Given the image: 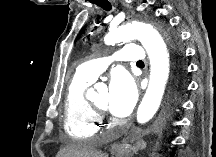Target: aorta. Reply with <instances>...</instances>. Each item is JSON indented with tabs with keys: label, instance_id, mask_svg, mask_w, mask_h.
Here are the masks:
<instances>
[{
	"label": "aorta",
	"instance_id": "aorta-1",
	"mask_svg": "<svg viewBox=\"0 0 216 157\" xmlns=\"http://www.w3.org/2000/svg\"><path fill=\"white\" fill-rule=\"evenodd\" d=\"M137 39L146 49L151 71L149 85L137 110V122L147 123L157 112L162 101L170 72V56L160 33L150 24L133 22L112 29L105 37L107 45ZM118 153L117 156H126Z\"/></svg>",
	"mask_w": 216,
	"mask_h": 157
}]
</instances>
